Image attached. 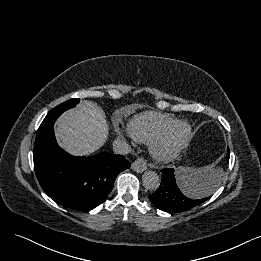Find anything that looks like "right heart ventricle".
Returning a JSON list of instances; mask_svg holds the SVG:
<instances>
[{
    "instance_id": "e07e8e85",
    "label": "right heart ventricle",
    "mask_w": 261,
    "mask_h": 261,
    "mask_svg": "<svg viewBox=\"0 0 261 261\" xmlns=\"http://www.w3.org/2000/svg\"><path fill=\"white\" fill-rule=\"evenodd\" d=\"M179 120L157 112L136 115L128 124L132 138L141 143H152Z\"/></svg>"
}]
</instances>
